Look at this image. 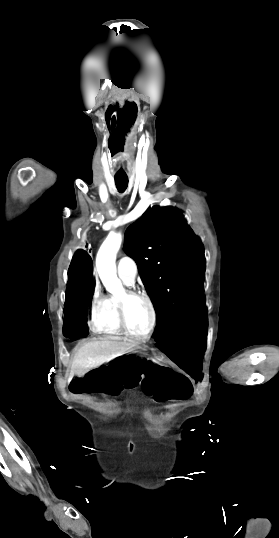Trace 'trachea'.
<instances>
[{
  "instance_id": "1",
  "label": "trachea",
  "mask_w": 279,
  "mask_h": 538,
  "mask_svg": "<svg viewBox=\"0 0 279 538\" xmlns=\"http://www.w3.org/2000/svg\"><path fill=\"white\" fill-rule=\"evenodd\" d=\"M116 188L120 193H123L128 186V177L115 176Z\"/></svg>"
}]
</instances>
